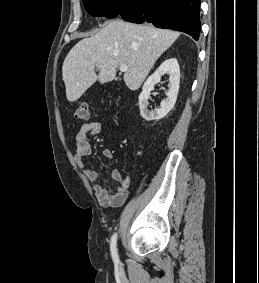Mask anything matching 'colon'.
Here are the masks:
<instances>
[{
  "mask_svg": "<svg viewBox=\"0 0 259 283\" xmlns=\"http://www.w3.org/2000/svg\"><path fill=\"white\" fill-rule=\"evenodd\" d=\"M76 118L79 120H88L89 119V108L86 103H81L75 112Z\"/></svg>",
  "mask_w": 259,
  "mask_h": 283,
  "instance_id": "obj_1",
  "label": "colon"
}]
</instances>
